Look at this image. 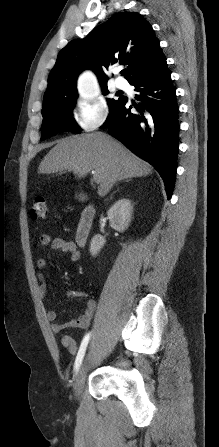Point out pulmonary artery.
<instances>
[{"label": "pulmonary artery", "instance_id": "e3ab8cb5", "mask_svg": "<svg viewBox=\"0 0 219 447\" xmlns=\"http://www.w3.org/2000/svg\"><path fill=\"white\" fill-rule=\"evenodd\" d=\"M115 85L119 89H125L127 87V82L122 78H117L115 80Z\"/></svg>", "mask_w": 219, "mask_h": 447}]
</instances>
